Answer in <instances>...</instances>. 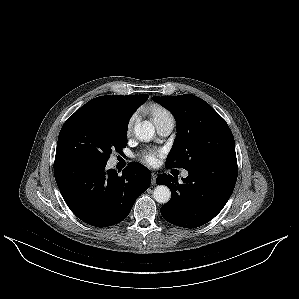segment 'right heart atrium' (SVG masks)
Returning <instances> with one entry per match:
<instances>
[{
	"mask_svg": "<svg viewBox=\"0 0 299 299\" xmlns=\"http://www.w3.org/2000/svg\"><path fill=\"white\" fill-rule=\"evenodd\" d=\"M137 114L134 113L130 116L128 123H127V132L130 133L133 129L134 123L136 121Z\"/></svg>",
	"mask_w": 299,
	"mask_h": 299,
	"instance_id": "right-heart-atrium-1",
	"label": "right heart atrium"
}]
</instances>
